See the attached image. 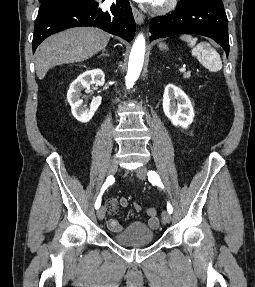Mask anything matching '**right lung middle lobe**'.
I'll return each instance as SVG.
<instances>
[{
	"label": "right lung middle lobe",
	"instance_id": "dd1d6c3e",
	"mask_svg": "<svg viewBox=\"0 0 255 287\" xmlns=\"http://www.w3.org/2000/svg\"><path fill=\"white\" fill-rule=\"evenodd\" d=\"M41 6L39 11L56 5H65V4H80V3H90L96 2L95 0H39Z\"/></svg>",
	"mask_w": 255,
	"mask_h": 287
}]
</instances>
